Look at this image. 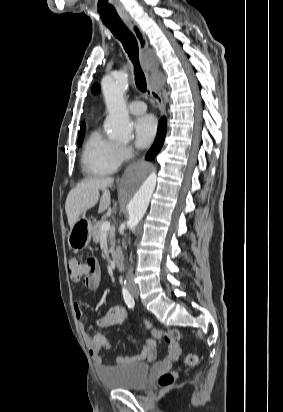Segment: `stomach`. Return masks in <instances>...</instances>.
Here are the masks:
<instances>
[{
  "label": "stomach",
  "instance_id": "1",
  "mask_svg": "<svg viewBox=\"0 0 283 412\" xmlns=\"http://www.w3.org/2000/svg\"><path fill=\"white\" fill-rule=\"evenodd\" d=\"M91 235V221L83 216L71 228L68 234V245L73 250L84 249L90 243Z\"/></svg>",
  "mask_w": 283,
  "mask_h": 412
}]
</instances>
